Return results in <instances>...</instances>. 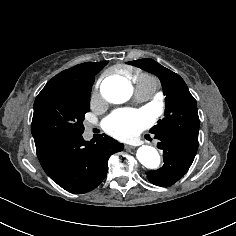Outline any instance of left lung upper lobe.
I'll return each instance as SVG.
<instances>
[{"instance_id":"1","label":"left lung upper lobe","mask_w":236,"mask_h":236,"mask_svg":"<svg viewBox=\"0 0 236 236\" xmlns=\"http://www.w3.org/2000/svg\"><path fill=\"white\" fill-rule=\"evenodd\" d=\"M128 64L155 74L160 79L166 95L165 117L158 121L150 133L155 134V138L162 134L173 133L198 139L197 103L184 80L150 58L130 61Z\"/></svg>"}]
</instances>
